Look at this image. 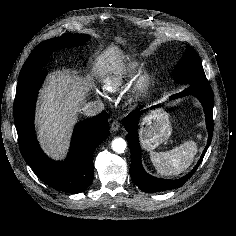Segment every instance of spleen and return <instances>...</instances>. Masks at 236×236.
<instances>
[{"label":"spleen","mask_w":236,"mask_h":236,"mask_svg":"<svg viewBox=\"0 0 236 236\" xmlns=\"http://www.w3.org/2000/svg\"><path fill=\"white\" fill-rule=\"evenodd\" d=\"M201 138V135H198ZM197 153V143L193 139L166 152L150 153V159L158 173L164 176H175L184 172L192 164Z\"/></svg>","instance_id":"spleen-1"}]
</instances>
